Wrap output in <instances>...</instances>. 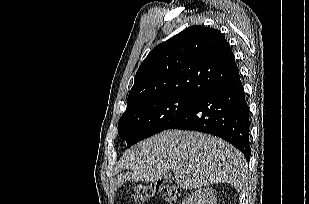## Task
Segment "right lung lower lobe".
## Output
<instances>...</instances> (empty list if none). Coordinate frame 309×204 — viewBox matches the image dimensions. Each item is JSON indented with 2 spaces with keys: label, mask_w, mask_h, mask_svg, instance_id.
Instances as JSON below:
<instances>
[{
  "label": "right lung lower lobe",
  "mask_w": 309,
  "mask_h": 204,
  "mask_svg": "<svg viewBox=\"0 0 309 204\" xmlns=\"http://www.w3.org/2000/svg\"><path fill=\"white\" fill-rule=\"evenodd\" d=\"M166 129L194 130L218 136L249 159L250 115L240 75L202 95Z\"/></svg>",
  "instance_id": "98d812e1"
}]
</instances>
